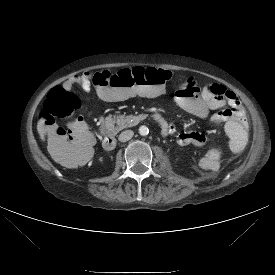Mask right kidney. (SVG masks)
<instances>
[{
    "mask_svg": "<svg viewBox=\"0 0 275 275\" xmlns=\"http://www.w3.org/2000/svg\"><path fill=\"white\" fill-rule=\"evenodd\" d=\"M98 162H99L101 165H104V164L107 162V159H106L104 156H101V157L98 159Z\"/></svg>",
    "mask_w": 275,
    "mask_h": 275,
    "instance_id": "1",
    "label": "right kidney"
}]
</instances>
